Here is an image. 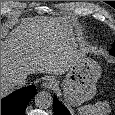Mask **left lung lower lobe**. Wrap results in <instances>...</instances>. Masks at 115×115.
Segmentation results:
<instances>
[{
	"label": "left lung lower lobe",
	"mask_w": 115,
	"mask_h": 115,
	"mask_svg": "<svg viewBox=\"0 0 115 115\" xmlns=\"http://www.w3.org/2000/svg\"><path fill=\"white\" fill-rule=\"evenodd\" d=\"M54 115H70L67 108L59 102L57 98L53 101Z\"/></svg>",
	"instance_id": "left-lung-lower-lobe-1"
}]
</instances>
